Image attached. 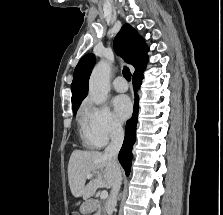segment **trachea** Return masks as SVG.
<instances>
[{
	"label": "trachea",
	"instance_id": "obj_1",
	"mask_svg": "<svg viewBox=\"0 0 223 215\" xmlns=\"http://www.w3.org/2000/svg\"><path fill=\"white\" fill-rule=\"evenodd\" d=\"M123 75L126 78V80H128V81L131 80V72H130L129 68L124 67V69H123Z\"/></svg>",
	"mask_w": 223,
	"mask_h": 215
}]
</instances>
